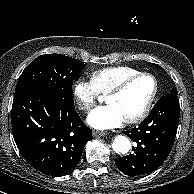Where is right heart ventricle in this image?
Segmentation results:
<instances>
[{
  "label": "right heart ventricle",
  "mask_w": 194,
  "mask_h": 194,
  "mask_svg": "<svg viewBox=\"0 0 194 194\" xmlns=\"http://www.w3.org/2000/svg\"><path fill=\"white\" fill-rule=\"evenodd\" d=\"M138 72L137 69L128 66H112L92 72L90 79L97 93L106 95L124 78Z\"/></svg>",
  "instance_id": "obj_1"
}]
</instances>
